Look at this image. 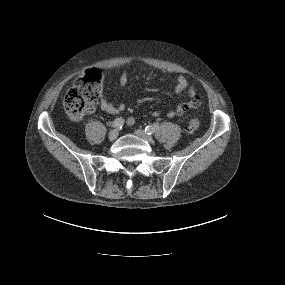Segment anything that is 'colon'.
<instances>
[{
    "label": "colon",
    "instance_id": "5ec220e1",
    "mask_svg": "<svg viewBox=\"0 0 285 285\" xmlns=\"http://www.w3.org/2000/svg\"><path fill=\"white\" fill-rule=\"evenodd\" d=\"M103 73L96 68L87 69L73 84L65 98V110L74 121L81 120L87 113L94 110L102 97ZM199 121L192 118L186 129L197 130Z\"/></svg>",
    "mask_w": 285,
    "mask_h": 285
}]
</instances>
